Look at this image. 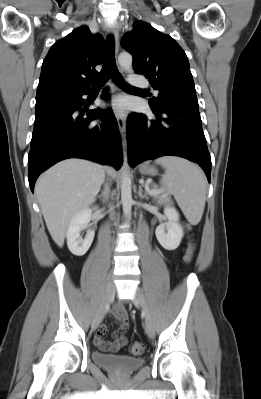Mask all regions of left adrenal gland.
I'll return each instance as SVG.
<instances>
[{
  "label": "left adrenal gland",
  "mask_w": 261,
  "mask_h": 399,
  "mask_svg": "<svg viewBox=\"0 0 261 399\" xmlns=\"http://www.w3.org/2000/svg\"><path fill=\"white\" fill-rule=\"evenodd\" d=\"M142 192H143V191H142V188L139 187V191H138L139 197H140V198L149 199V197H148L146 194H143Z\"/></svg>",
  "instance_id": "left-adrenal-gland-1"
}]
</instances>
